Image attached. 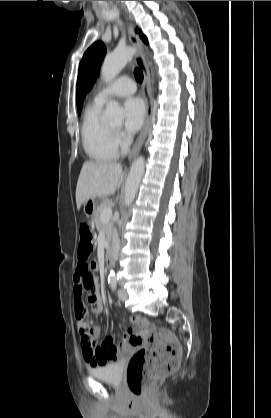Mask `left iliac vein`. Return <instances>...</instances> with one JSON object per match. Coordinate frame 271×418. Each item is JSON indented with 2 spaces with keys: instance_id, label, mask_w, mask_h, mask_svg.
I'll return each mask as SVG.
<instances>
[{
  "instance_id": "left-iliac-vein-1",
  "label": "left iliac vein",
  "mask_w": 271,
  "mask_h": 418,
  "mask_svg": "<svg viewBox=\"0 0 271 418\" xmlns=\"http://www.w3.org/2000/svg\"><path fill=\"white\" fill-rule=\"evenodd\" d=\"M118 297L121 301H126L128 299V293L123 289H119Z\"/></svg>"
}]
</instances>
